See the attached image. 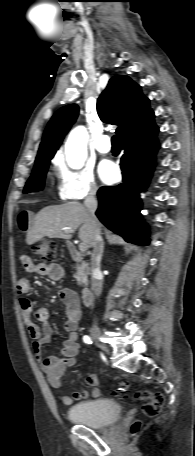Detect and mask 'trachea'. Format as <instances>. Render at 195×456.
<instances>
[{"mask_svg":"<svg viewBox=\"0 0 195 456\" xmlns=\"http://www.w3.org/2000/svg\"><path fill=\"white\" fill-rule=\"evenodd\" d=\"M112 145L113 147H120V136L119 135H114L112 137Z\"/></svg>","mask_w":195,"mask_h":456,"instance_id":"3493384b","label":"trachea"}]
</instances>
